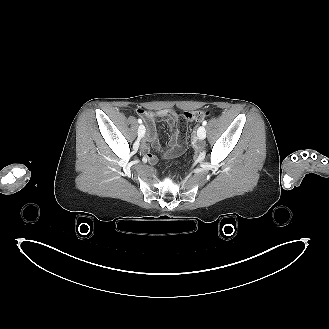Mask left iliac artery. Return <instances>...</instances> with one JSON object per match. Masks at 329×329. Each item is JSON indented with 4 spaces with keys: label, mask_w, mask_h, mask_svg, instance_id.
I'll return each mask as SVG.
<instances>
[{
    "label": "left iliac artery",
    "mask_w": 329,
    "mask_h": 329,
    "mask_svg": "<svg viewBox=\"0 0 329 329\" xmlns=\"http://www.w3.org/2000/svg\"><path fill=\"white\" fill-rule=\"evenodd\" d=\"M206 124H207V121H206V120L203 121L202 125H203V126H206Z\"/></svg>",
    "instance_id": "left-iliac-artery-1"
}]
</instances>
